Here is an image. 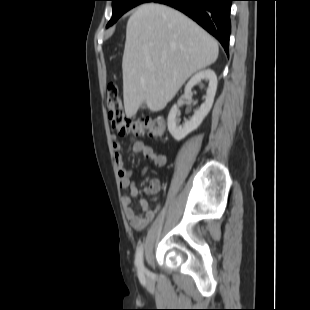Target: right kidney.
Here are the masks:
<instances>
[{
    "label": "right kidney",
    "instance_id": "right-kidney-1",
    "mask_svg": "<svg viewBox=\"0 0 310 310\" xmlns=\"http://www.w3.org/2000/svg\"><path fill=\"white\" fill-rule=\"evenodd\" d=\"M203 79H207L209 81L205 96V102L200 106L198 110L194 112V115L190 120L185 121L183 125H178L177 116L179 115V111L177 104H174L169 112L168 130L173 136V138L177 141L182 140L189 133L196 130L212 108L215 93L217 90V77L212 69H203L193 75L186 84L184 92L185 94H190L192 88Z\"/></svg>",
    "mask_w": 310,
    "mask_h": 310
}]
</instances>
